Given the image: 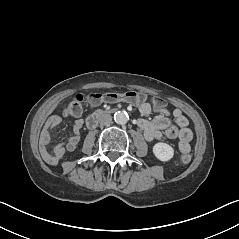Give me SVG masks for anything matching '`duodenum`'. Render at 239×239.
I'll return each instance as SVG.
<instances>
[{"label": "duodenum", "mask_w": 239, "mask_h": 239, "mask_svg": "<svg viewBox=\"0 0 239 239\" xmlns=\"http://www.w3.org/2000/svg\"><path fill=\"white\" fill-rule=\"evenodd\" d=\"M105 113L104 110H96L90 114L86 120V125L88 128L92 129L96 126L98 119Z\"/></svg>", "instance_id": "duodenum-1"}]
</instances>
